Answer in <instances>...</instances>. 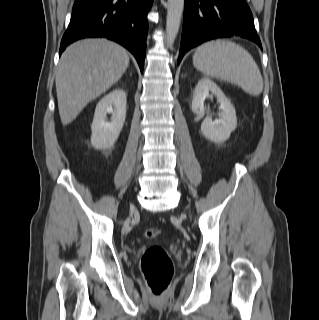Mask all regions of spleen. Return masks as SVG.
<instances>
[{
	"label": "spleen",
	"mask_w": 319,
	"mask_h": 320,
	"mask_svg": "<svg viewBox=\"0 0 319 320\" xmlns=\"http://www.w3.org/2000/svg\"><path fill=\"white\" fill-rule=\"evenodd\" d=\"M193 64L202 73L233 83L246 93L258 96L264 82L258 65L242 46L224 39L212 40L200 45Z\"/></svg>",
	"instance_id": "3e777b00"
}]
</instances>
